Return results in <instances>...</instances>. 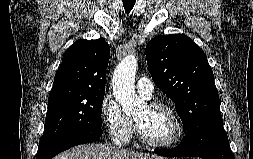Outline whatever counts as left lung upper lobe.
I'll list each match as a JSON object with an SVG mask.
<instances>
[{
  "label": "left lung upper lobe",
  "instance_id": "5c2ea615",
  "mask_svg": "<svg viewBox=\"0 0 253 159\" xmlns=\"http://www.w3.org/2000/svg\"><path fill=\"white\" fill-rule=\"evenodd\" d=\"M146 59L153 81L174 101L186 136L200 135L223 122L212 68L191 38L157 36L146 46Z\"/></svg>",
  "mask_w": 253,
  "mask_h": 159
}]
</instances>
